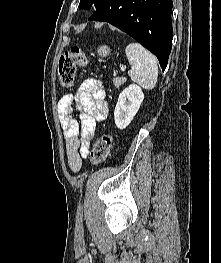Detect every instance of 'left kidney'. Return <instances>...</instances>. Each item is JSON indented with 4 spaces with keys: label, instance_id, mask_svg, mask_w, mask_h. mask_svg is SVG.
Segmentation results:
<instances>
[{
    "label": "left kidney",
    "instance_id": "5707ae66",
    "mask_svg": "<svg viewBox=\"0 0 221 263\" xmlns=\"http://www.w3.org/2000/svg\"><path fill=\"white\" fill-rule=\"evenodd\" d=\"M143 100L142 89L136 84L129 85L120 93L114 110L115 124L119 129H125L131 123Z\"/></svg>",
    "mask_w": 221,
    "mask_h": 263
}]
</instances>
